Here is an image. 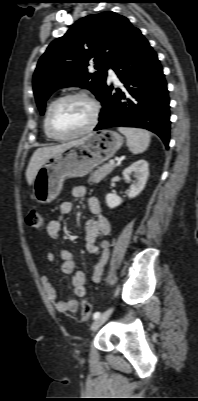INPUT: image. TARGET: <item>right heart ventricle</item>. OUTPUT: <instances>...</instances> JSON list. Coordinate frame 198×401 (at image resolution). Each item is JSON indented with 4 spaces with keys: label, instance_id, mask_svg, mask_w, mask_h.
I'll list each match as a JSON object with an SVG mask.
<instances>
[{
    "label": "right heart ventricle",
    "instance_id": "obj_1",
    "mask_svg": "<svg viewBox=\"0 0 198 401\" xmlns=\"http://www.w3.org/2000/svg\"><path fill=\"white\" fill-rule=\"evenodd\" d=\"M52 103H53V101H50V103L48 104V106H47V108H46V114H47V112H48V110H49V108H50V106H51ZM45 121H46V115H45V118H44V121H43V130H44V133H45L46 137L49 138V139H51V137H50V136L48 135V133H47Z\"/></svg>",
    "mask_w": 198,
    "mask_h": 401
}]
</instances>
